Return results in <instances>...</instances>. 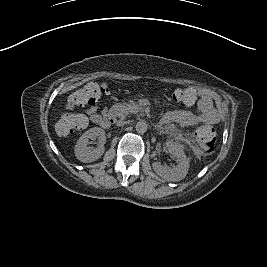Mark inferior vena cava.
Instances as JSON below:
<instances>
[{"label":"inferior vena cava","instance_id":"1","mask_svg":"<svg viewBox=\"0 0 267 267\" xmlns=\"http://www.w3.org/2000/svg\"><path fill=\"white\" fill-rule=\"evenodd\" d=\"M124 124H125L124 121H118V125H119V126H123Z\"/></svg>","mask_w":267,"mask_h":267}]
</instances>
